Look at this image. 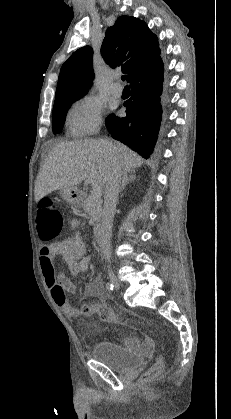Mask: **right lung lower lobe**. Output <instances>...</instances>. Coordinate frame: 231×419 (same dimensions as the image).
<instances>
[{
  "label": "right lung lower lobe",
  "instance_id": "98d812e1",
  "mask_svg": "<svg viewBox=\"0 0 231 419\" xmlns=\"http://www.w3.org/2000/svg\"><path fill=\"white\" fill-rule=\"evenodd\" d=\"M162 59L131 79V98L124 102L126 116L111 114L106 127L114 139L120 140L148 158L157 141L162 118L160 104L163 93Z\"/></svg>",
  "mask_w": 231,
  "mask_h": 419
}]
</instances>
